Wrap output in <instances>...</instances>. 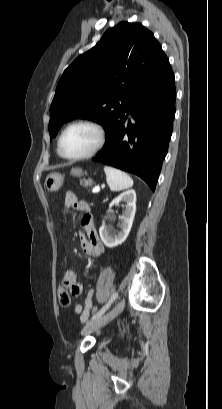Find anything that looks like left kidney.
I'll list each match as a JSON object with an SVG mask.
<instances>
[{"label":"left kidney","instance_id":"obj_1","mask_svg":"<svg viewBox=\"0 0 222 409\" xmlns=\"http://www.w3.org/2000/svg\"><path fill=\"white\" fill-rule=\"evenodd\" d=\"M126 202L125 210L120 216L121 220V231L118 234L112 233V228L106 225H102L99 229L100 237L106 247L113 248L120 244H122L126 238L128 237L132 224L133 219L136 212V192L135 190H127L120 194L118 197L112 200L109 204V210H111L112 206L119 205L120 202Z\"/></svg>","mask_w":222,"mask_h":409}]
</instances>
